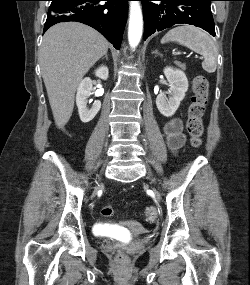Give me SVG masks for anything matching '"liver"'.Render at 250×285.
Returning <instances> with one entry per match:
<instances>
[{"mask_svg": "<svg viewBox=\"0 0 250 285\" xmlns=\"http://www.w3.org/2000/svg\"><path fill=\"white\" fill-rule=\"evenodd\" d=\"M108 47L100 33L81 23H59L44 34L39 61L59 129L65 127L72 115L79 83Z\"/></svg>", "mask_w": 250, "mask_h": 285, "instance_id": "liver-1", "label": "liver"}]
</instances>
